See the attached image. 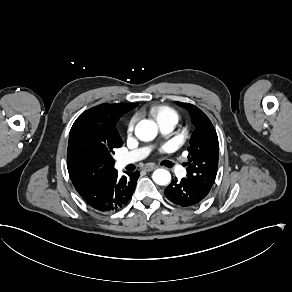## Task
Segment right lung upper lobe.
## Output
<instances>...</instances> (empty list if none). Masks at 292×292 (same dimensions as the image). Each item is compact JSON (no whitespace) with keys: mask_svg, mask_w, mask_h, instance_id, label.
<instances>
[{"mask_svg":"<svg viewBox=\"0 0 292 292\" xmlns=\"http://www.w3.org/2000/svg\"><path fill=\"white\" fill-rule=\"evenodd\" d=\"M137 103L101 104L83 112L74 122L69 135L68 147L74 142L122 146L123 141L116 129V122ZM70 177L103 176L115 172L114 164L106 163L97 168L84 165H67Z\"/></svg>","mask_w":292,"mask_h":292,"instance_id":"obj_1","label":"right lung upper lobe"}]
</instances>
